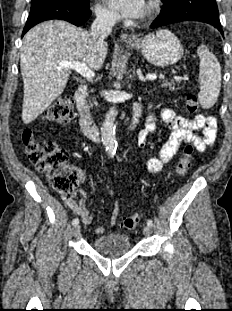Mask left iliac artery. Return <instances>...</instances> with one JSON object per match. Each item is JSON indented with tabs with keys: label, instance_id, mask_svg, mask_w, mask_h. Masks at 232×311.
Here are the masks:
<instances>
[{
	"label": "left iliac artery",
	"instance_id": "left-iliac-artery-1",
	"mask_svg": "<svg viewBox=\"0 0 232 311\" xmlns=\"http://www.w3.org/2000/svg\"><path fill=\"white\" fill-rule=\"evenodd\" d=\"M147 225H148V226H153V221H152L151 219H148V220H147Z\"/></svg>",
	"mask_w": 232,
	"mask_h": 311
}]
</instances>
